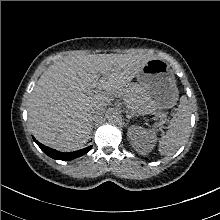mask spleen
I'll return each mask as SVG.
<instances>
[{
	"label": "spleen",
	"mask_w": 220,
	"mask_h": 220,
	"mask_svg": "<svg viewBox=\"0 0 220 220\" xmlns=\"http://www.w3.org/2000/svg\"><path fill=\"white\" fill-rule=\"evenodd\" d=\"M190 114L188 99L183 95L176 114L169 122L167 132L159 139L158 150L161 155H172L184 144L189 135Z\"/></svg>",
	"instance_id": "obj_1"
}]
</instances>
